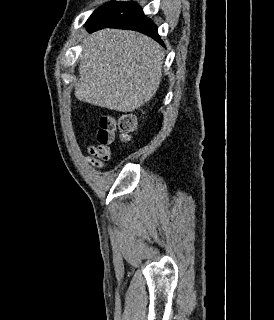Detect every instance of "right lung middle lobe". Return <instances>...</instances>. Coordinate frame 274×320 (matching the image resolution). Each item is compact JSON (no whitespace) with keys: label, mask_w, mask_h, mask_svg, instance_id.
Wrapping results in <instances>:
<instances>
[{"label":"right lung middle lobe","mask_w":274,"mask_h":320,"mask_svg":"<svg viewBox=\"0 0 274 320\" xmlns=\"http://www.w3.org/2000/svg\"><path fill=\"white\" fill-rule=\"evenodd\" d=\"M122 2H116L111 1L109 3L104 4L103 6L99 7L97 10L94 11V13L90 16V18L87 20V24H91L101 17L105 16L106 14L110 13L112 10H114L117 6H119Z\"/></svg>","instance_id":"1"}]
</instances>
